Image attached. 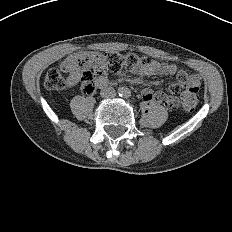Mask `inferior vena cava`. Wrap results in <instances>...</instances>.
Instances as JSON below:
<instances>
[{
	"instance_id": "inferior-vena-cava-1",
	"label": "inferior vena cava",
	"mask_w": 232,
	"mask_h": 232,
	"mask_svg": "<svg viewBox=\"0 0 232 232\" xmlns=\"http://www.w3.org/2000/svg\"><path fill=\"white\" fill-rule=\"evenodd\" d=\"M101 96L104 98H113L116 96V91L112 87H107L101 90Z\"/></svg>"
}]
</instances>
